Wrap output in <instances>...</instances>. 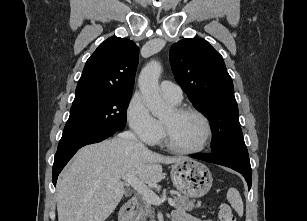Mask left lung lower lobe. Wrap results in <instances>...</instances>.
I'll return each instance as SVG.
<instances>
[{
  "instance_id": "1",
  "label": "left lung lower lobe",
  "mask_w": 307,
  "mask_h": 221,
  "mask_svg": "<svg viewBox=\"0 0 307 221\" xmlns=\"http://www.w3.org/2000/svg\"><path fill=\"white\" fill-rule=\"evenodd\" d=\"M191 157L226 166L238 171L245 177L246 182L248 184V189L250 190L252 182V169L250 165V160H243L231 154L195 155Z\"/></svg>"
}]
</instances>
